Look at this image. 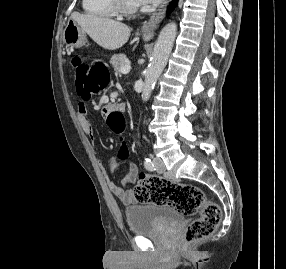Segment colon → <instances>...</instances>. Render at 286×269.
Returning <instances> with one entry per match:
<instances>
[{"label": "colon", "instance_id": "obj_1", "mask_svg": "<svg viewBox=\"0 0 286 269\" xmlns=\"http://www.w3.org/2000/svg\"><path fill=\"white\" fill-rule=\"evenodd\" d=\"M72 64L75 69L77 90L82 97L91 96L107 83V73L103 63L76 57ZM116 114L117 116H109V126H116L112 130L113 134H122L124 121L127 120V117L122 116V111H117ZM118 146L120 149H125L129 143L119 142ZM116 155L128 156L131 155V150H116ZM134 193L139 202L169 206L182 215H194L199 212V217L190 223L184 231L183 242L185 245L210 236L221 219L219 205L209 200L204 191L194 185L138 173Z\"/></svg>", "mask_w": 286, "mask_h": 269}]
</instances>
